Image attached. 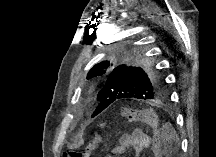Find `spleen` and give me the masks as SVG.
I'll return each mask as SVG.
<instances>
[{"instance_id": "3e777b00", "label": "spleen", "mask_w": 216, "mask_h": 157, "mask_svg": "<svg viewBox=\"0 0 216 157\" xmlns=\"http://www.w3.org/2000/svg\"><path fill=\"white\" fill-rule=\"evenodd\" d=\"M161 138H162L164 147L166 148L167 146L171 147L172 144H174L176 148L179 147V138L173 129H171L168 134L167 133L162 134Z\"/></svg>"}]
</instances>
